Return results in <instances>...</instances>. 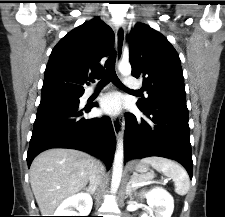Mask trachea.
Returning <instances> with one entry per match:
<instances>
[{
	"instance_id": "obj_1",
	"label": "trachea",
	"mask_w": 225,
	"mask_h": 217,
	"mask_svg": "<svg viewBox=\"0 0 225 217\" xmlns=\"http://www.w3.org/2000/svg\"><path fill=\"white\" fill-rule=\"evenodd\" d=\"M115 59H116V54L115 52H113L111 56L108 58V60L106 61L107 68H106L105 75L103 76L102 80L99 83L100 86H103L109 82H112L119 87H125L116 75Z\"/></svg>"
}]
</instances>
